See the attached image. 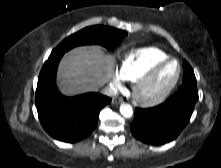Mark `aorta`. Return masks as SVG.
Listing matches in <instances>:
<instances>
[{
    "instance_id": "1",
    "label": "aorta",
    "mask_w": 221,
    "mask_h": 168,
    "mask_svg": "<svg viewBox=\"0 0 221 168\" xmlns=\"http://www.w3.org/2000/svg\"><path fill=\"white\" fill-rule=\"evenodd\" d=\"M120 113L123 117L130 118L133 115V109L131 105L123 103L120 106Z\"/></svg>"
}]
</instances>
